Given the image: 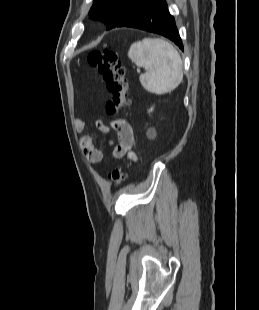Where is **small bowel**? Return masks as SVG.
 <instances>
[{"label":"small bowel","instance_id":"small-bowel-1","mask_svg":"<svg viewBox=\"0 0 259 310\" xmlns=\"http://www.w3.org/2000/svg\"><path fill=\"white\" fill-rule=\"evenodd\" d=\"M96 126L104 133H108L111 128L116 130L118 144L113 148V155L115 158H122L128 155L131 159H135V155L132 152L135 136L133 128L128 122L124 120H115L107 126L102 121H97ZM74 128L78 132L84 131L86 128L85 121L81 118H76L74 120ZM108 144L113 145V142L109 140ZM79 146L90 163H98L102 160V150L95 145L94 140L89 135H81L79 137Z\"/></svg>","mask_w":259,"mask_h":310}]
</instances>
